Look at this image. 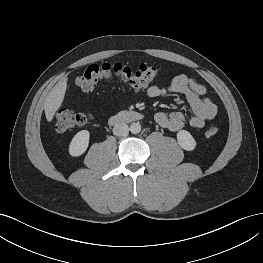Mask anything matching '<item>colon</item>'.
I'll return each mask as SVG.
<instances>
[{
    "instance_id": "1",
    "label": "colon",
    "mask_w": 263,
    "mask_h": 263,
    "mask_svg": "<svg viewBox=\"0 0 263 263\" xmlns=\"http://www.w3.org/2000/svg\"><path fill=\"white\" fill-rule=\"evenodd\" d=\"M159 69L149 64H140L136 68L120 63H104L101 65H90L77 78V86L85 91H93L100 83L117 80L124 85L141 90L148 86L158 75ZM56 129L60 132L70 130L85 124L89 116L85 113L71 109H59L54 115ZM218 132V127L210 126L206 130V136L212 137Z\"/></svg>"
}]
</instances>
